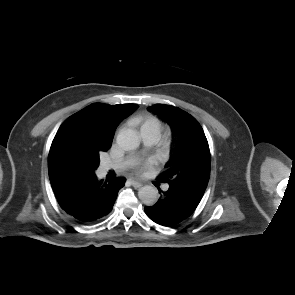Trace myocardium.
Instances as JSON below:
<instances>
[{"instance_id":"f54148a6","label":"myocardium","mask_w":295,"mask_h":295,"mask_svg":"<svg viewBox=\"0 0 295 295\" xmlns=\"http://www.w3.org/2000/svg\"><path fill=\"white\" fill-rule=\"evenodd\" d=\"M172 146V139L169 136H164L162 142H161V149L164 153H169Z\"/></svg>"}]
</instances>
